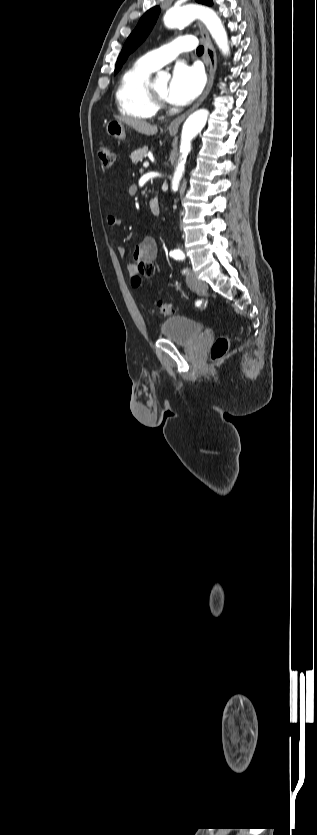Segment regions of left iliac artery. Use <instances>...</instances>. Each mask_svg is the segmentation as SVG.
I'll list each match as a JSON object with an SVG mask.
<instances>
[{
  "label": "left iliac artery",
  "mask_w": 317,
  "mask_h": 835,
  "mask_svg": "<svg viewBox=\"0 0 317 835\" xmlns=\"http://www.w3.org/2000/svg\"><path fill=\"white\" fill-rule=\"evenodd\" d=\"M170 254L176 260H181L182 261V260L185 259V255H184L183 251L180 250V249H175Z\"/></svg>",
  "instance_id": "left-iliac-artery-1"
}]
</instances>
